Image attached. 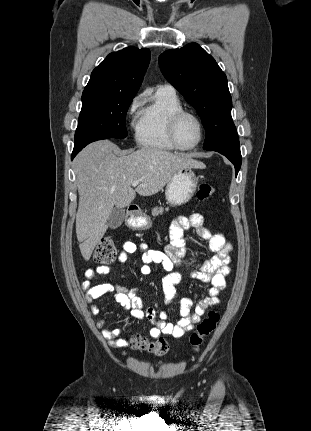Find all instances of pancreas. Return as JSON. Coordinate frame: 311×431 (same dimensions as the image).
I'll return each instance as SVG.
<instances>
[{"instance_id":"1","label":"pancreas","mask_w":311,"mask_h":431,"mask_svg":"<svg viewBox=\"0 0 311 431\" xmlns=\"http://www.w3.org/2000/svg\"><path fill=\"white\" fill-rule=\"evenodd\" d=\"M163 212H169V208H152L151 216H161ZM154 219V217H153Z\"/></svg>"}]
</instances>
